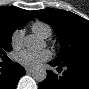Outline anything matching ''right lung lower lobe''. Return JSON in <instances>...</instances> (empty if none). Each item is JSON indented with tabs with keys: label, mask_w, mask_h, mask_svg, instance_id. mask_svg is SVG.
Wrapping results in <instances>:
<instances>
[{
	"label": "right lung lower lobe",
	"mask_w": 89,
	"mask_h": 89,
	"mask_svg": "<svg viewBox=\"0 0 89 89\" xmlns=\"http://www.w3.org/2000/svg\"><path fill=\"white\" fill-rule=\"evenodd\" d=\"M25 69L16 62L9 60L7 66L0 69V88L14 89L21 76L25 75Z\"/></svg>",
	"instance_id": "1"
}]
</instances>
